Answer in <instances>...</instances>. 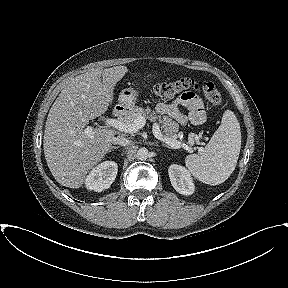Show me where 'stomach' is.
I'll use <instances>...</instances> for the list:
<instances>
[{"label": "stomach", "instance_id": "0dacf381", "mask_svg": "<svg viewBox=\"0 0 288 288\" xmlns=\"http://www.w3.org/2000/svg\"><path fill=\"white\" fill-rule=\"evenodd\" d=\"M138 96V91L134 88H126L123 89L120 92L118 104L116 105V108L118 110H121L123 112H128L132 110L135 106V102Z\"/></svg>", "mask_w": 288, "mask_h": 288}]
</instances>
